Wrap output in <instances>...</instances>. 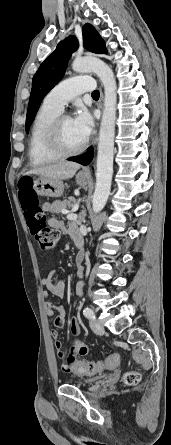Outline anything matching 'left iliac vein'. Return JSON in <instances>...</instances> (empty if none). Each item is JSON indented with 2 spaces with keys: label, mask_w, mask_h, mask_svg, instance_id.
Here are the masks:
<instances>
[{
  "label": "left iliac vein",
  "mask_w": 171,
  "mask_h": 445,
  "mask_svg": "<svg viewBox=\"0 0 171 445\" xmlns=\"http://www.w3.org/2000/svg\"><path fill=\"white\" fill-rule=\"evenodd\" d=\"M90 327H91L92 331L98 335H101L104 333L103 324L99 321H90Z\"/></svg>",
  "instance_id": "4c4485c4"
}]
</instances>
